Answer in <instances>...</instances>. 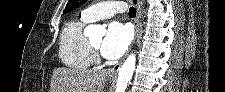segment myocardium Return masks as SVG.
<instances>
[{
    "mask_svg": "<svg viewBox=\"0 0 225 92\" xmlns=\"http://www.w3.org/2000/svg\"><path fill=\"white\" fill-rule=\"evenodd\" d=\"M89 44H90V48H91L94 60L98 61L99 60L98 47L94 46L91 42H89Z\"/></svg>",
    "mask_w": 225,
    "mask_h": 92,
    "instance_id": "1",
    "label": "myocardium"
}]
</instances>
